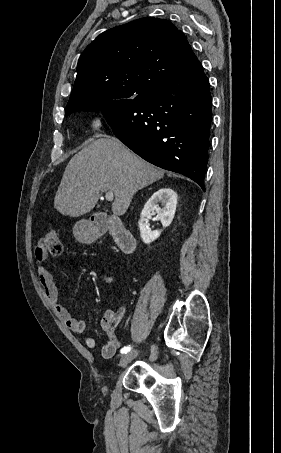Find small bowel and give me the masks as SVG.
<instances>
[{
  "mask_svg": "<svg viewBox=\"0 0 281 453\" xmlns=\"http://www.w3.org/2000/svg\"><path fill=\"white\" fill-rule=\"evenodd\" d=\"M46 252H40V258H44ZM39 281L44 289L45 295L48 299L49 304L57 311L58 315L65 322L69 330L77 334H84L86 331V323L84 320L76 318L71 315L66 305L60 302L56 285L54 283L53 276L49 268L44 264H38L36 268ZM114 278L107 276L104 278L105 284H113ZM127 311L123 307L120 313L114 310H106L103 317L99 321V329L106 333V342L101 349V357L103 359H112L115 354L120 350V342L115 335V327L119 323L121 317L127 316ZM85 345L88 348H95L97 340L94 336L86 335L83 338Z\"/></svg>",
  "mask_w": 281,
  "mask_h": 453,
  "instance_id": "obj_1",
  "label": "small bowel"
}]
</instances>
